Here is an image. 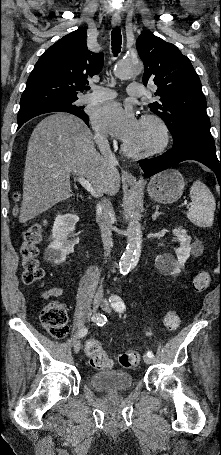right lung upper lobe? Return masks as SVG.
Masks as SVG:
<instances>
[{
    "instance_id": "cb5924a9",
    "label": "right lung upper lobe",
    "mask_w": 221,
    "mask_h": 455,
    "mask_svg": "<svg viewBox=\"0 0 221 455\" xmlns=\"http://www.w3.org/2000/svg\"><path fill=\"white\" fill-rule=\"evenodd\" d=\"M86 29L64 36L45 51L31 72L20 100V109L47 106L77 98L88 76L98 74L103 53L88 50Z\"/></svg>"
}]
</instances>
